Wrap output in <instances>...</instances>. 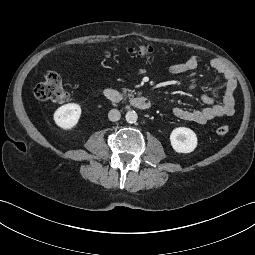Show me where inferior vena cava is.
Wrapping results in <instances>:
<instances>
[{"mask_svg": "<svg viewBox=\"0 0 255 255\" xmlns=\"http://www.w3.org/2000/svg\"><path fill=\"white\" fill-rule=\"evenodd\" d=\"M120 117H121V114H120L119 110H117V109H112L108 113V118L112 122L118 121L120 119Z\"/></svg>", "mask_w": 255, "mask_h": 255, "instance_id": "1", "label": "inferior vena cava"}]
</instances>
